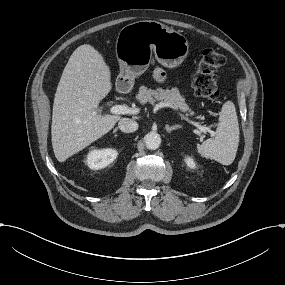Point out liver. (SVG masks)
Returning <instances> with one entry per match:
<instances>
[{
  "mask_svg": "<svg viewBox=\"0 0 285 285\" xmlns=\"http://www.w3.org/2000/svg\"><path fill=\"white\" fill-rule=\"evenodd\" d=\"M111 73L102 55L89 44L70 56L59 81L53 104L52 147L59 162L83 150L108 133L121 119L101 115L100 101L112 88Z\"/></svg>",
  "mask_w": 285,
  "mask_h": 285,
  "instance_id": "6515ba94",
  "label": "liver"
}]
</instances>
